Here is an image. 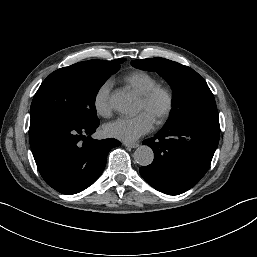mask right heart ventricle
Wrapping results in <instances>:
<instances>
[{"label":"right heart ventricle","mask_w":257,"mask_h":257,"mask_svg":"<svg viewBox=\"0 0 257 257\" xmlns=\"http://www.w3.org/2000/svg\"><path fill=\"white\" fill-rule=\"evenodd\" d=\"M125 82L140 96L158 85L157 80L152 75L143 71H137L126 76Z\"/></svg>","instance_id":"1"}]
</instances>
